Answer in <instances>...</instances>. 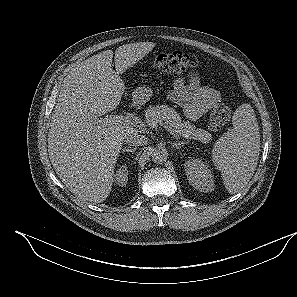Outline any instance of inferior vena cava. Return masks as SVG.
I'll return each instance as SVG.
<instances>
[{
	"label": "inferior vena cava",
	"mask_w": 297,
	"mask_h": 297,
	"mask_svg": "<svg viewBox=\"0 0 297 297\" xmlns=\"http://www.w3.org/2000/svg\"><path fill=\"white\" fill-rule=\"evenodd\" d=\"M125 142L130 146H142L148 142V138L145 135L134 132L125 136Z\"/></svg>",
	"instance_id": "602c4592"
}]
</instances>
